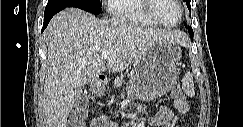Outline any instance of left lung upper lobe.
Wrapping results in <instances>:
<instances>
[{"label":"left lung upper lobe","instance_id":"5c2ea615","mask_svg":"<svg viewBox=\"0 0 243 127\" xmlns=\"http://www.w3.org/2000/svg\"><path fill=\"white\" fill-rule=\"evenodd\" d=\"M183 1L186 2L187 6H188V8L190 10V0H183ZM189 28L191 29L192 27H189Z\"/></svg>","mask_w":243,"mask_h":127}]
</instances>
